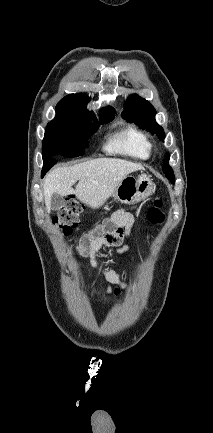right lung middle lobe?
<instances>
[{
    "label": "right lung middle lobe",
    "instance_id": "obj_1",
    "mask_svg": "<svg viewBox=\"0 0 213 433\" xmlns=\"http://www.w3.org/2000/svg\"><path fill=\"white\" fill-rule=\"evenodd\" d=\"M81 115L56 109V117L48 123L43 139V160L57 157H77L88 147L87 139L100 123H91ZM103 120L101 123L109 122Z\"/></svg>",
    "mask_w": 213,
    "mask_h": 433
}]
</instances>
